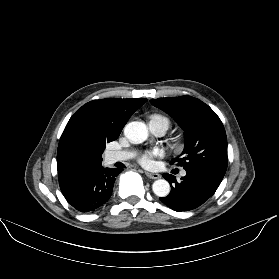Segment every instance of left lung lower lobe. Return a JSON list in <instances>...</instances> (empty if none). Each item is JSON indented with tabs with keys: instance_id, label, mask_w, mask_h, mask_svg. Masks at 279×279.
I'll use <instances>...</instances> for the list:
<instances>
[{
	"instance_id": "0a47b994",
	"label": "left lung lower lobe",
	"mask_w": 279,
	"mask_h": 279,
	"mask_svg": "<svg viewBox=\"0 0 279 279\" xmlns=\"http://www.w3.org/2000/svg\"><path fill=\"white\" fill-rule=\"evenodd\" d=\"M186 176L177 182L167 173L163 177L170 183L171 191L160 200L175 211L193 210L207 201L217 190L221 181L198 169H185Z\"/></svg>"
}]
</instances>
